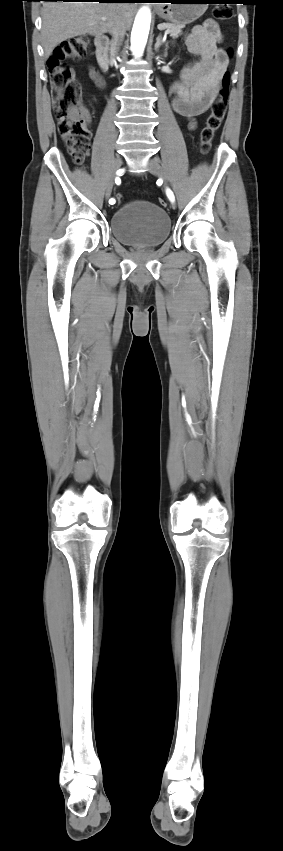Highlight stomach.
Listing matches in <instances>:
<instances>
[{
  "label": "stomach",
  "instance_id": "obj_1",
  "mask_svg": "<svg viewBox=\"0 0 283 851\" xmlns=\"http://www.w3.org/2000/svg\"><path fill=\"white\" fill-rule=\"evenodd\" d=\"M156 5L157 14L176 25L189 24L201 17L208 7V0H164Z\"/></svg>",
  "mask_w": 283,
  "mask_h": 851
}]
</instances>
